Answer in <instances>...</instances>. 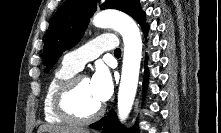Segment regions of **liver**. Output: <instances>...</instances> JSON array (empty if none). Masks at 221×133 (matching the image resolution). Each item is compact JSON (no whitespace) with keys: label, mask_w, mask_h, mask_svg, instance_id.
I'll return each mask as SVG.
<instances>
[{"label":"liver","mask_w":221,"mask_h":133,"mask_svg":"<svg viewBox=\"0 0 221 133\" xmlns=\"http://www.w3.org/2000/svg\"><path fill=\"white\" fill-rule=\"evenodd\" d=\"M37 133H90L87 129H76L72 127L43 125Z\"/></svg>","instance_id":"1"}]
</instances>
